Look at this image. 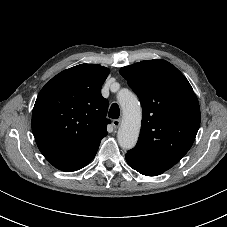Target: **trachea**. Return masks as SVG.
Returning a JSON list of instances; mask_svg holds the SVG:
<instances>
[{"label": "trachea", "mask_w": 227, "mask_h": 227, "mask_svg": "<svg viewBox=\"0 0 227 227\" xmlns=\"http://www.w3.org/2000/svg\"><path fill=\"white\" fill-rule=\"evenodd\" d=\"M108 116L112 119H117L120 116V109L117 103H113L110 107Z\"/></svg>", "instance_id": "1"}]
</instances>
